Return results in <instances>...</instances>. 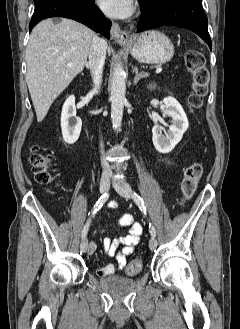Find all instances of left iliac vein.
I'll list each match as a JSON object with an SVG mask.
<instances>
[{
	"label": "left iliac vein",
	"mask_w": 240,
	"mask_h": 329,
	"mask_svg": "<svg viewBox=\"0 0 240 329\" xmlns=\"http://www.w3.org/2000/svg\"><path fill=\"white\" fill-rule=\"evenodd\" d=\"M113 185H114L115 190L122 197H124L126 199H130L132 197L131 188L127 183L121 182V183H114ZM156 247H157V240L154 237L150 238L149 248L151 250H154Z\"/></svg>",
	"instance_id": "4c4485c4"
}]
</instances>
